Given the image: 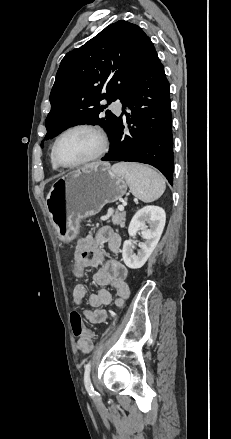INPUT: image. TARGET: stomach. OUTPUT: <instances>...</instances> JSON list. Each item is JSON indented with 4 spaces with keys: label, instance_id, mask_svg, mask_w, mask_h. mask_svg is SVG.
Masks as SVG:
<instances>
[{
    "label": "stomach",
    "instance_id": "0dacf381",
    "mask_svg": "<svg viewBox=\"0 0 231 439\" xmlns=\"http://www.w3.org/2000/svg\"><path fill=\"white\" fill-rule=\"evenodd\" d=\"M126 191L125 178L105 162L58 179L47 195L46 206L59 239H74L83 219L98 214L107 203L120 200Z\"/></svg>",
    "mask_w": 231,
    "mask_h": 439
}]
</instances>
